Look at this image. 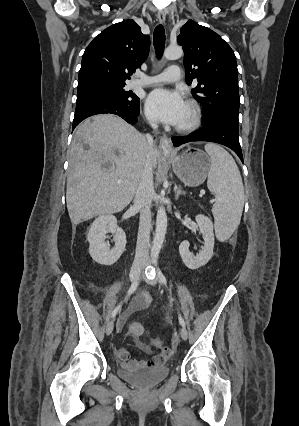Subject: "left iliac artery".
Wrapping results in <instances>:
<instances>
[{"instance_id":"obj_1","label":"left iliac artery","mask_w":299,"mask_h":426,"mask_svg":"<svg viewBox=\"0 0 299 426\" xmlns=\"http://www.w3.org/2000/svg\"><path fill=\"white\" fill-rule=\"evenodd\" d=\"M154 265L156 266V272H157V276H158V278H159V280H160V282L162 283V284H164V285H167V280H166V278H165V276H164V274L162 273V271L159 269V267L157 266V262H154ZM146 276L148 277V278H152V272L151 271H146ZM178 319H179V323L181 324V326L182 327H185V321H184V319L182 318V316L179 314L178 315Z\"/></svg>"}]
</instances>
